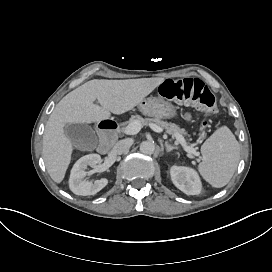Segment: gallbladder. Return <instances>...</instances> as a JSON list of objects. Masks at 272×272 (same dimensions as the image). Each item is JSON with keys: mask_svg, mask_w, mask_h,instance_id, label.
I'll use <instances>...</instances> for the list:
<instances>
[{"mask_svg": "<svg viewBox=\"0 0 272 272\" xmlns=\"http://www.w3.org/2000/svg\"><path fill=\"white\" fill-rule=\"evenodd\" d=\"M64 131L72 145L78 149H94L97 146L98 139L95 131L86 123L67 124Z\"/></svg>", "mask_w": 272, "mask_h": 272, "instance_id": "1", "label": "gallbladder"}]
</instances>
